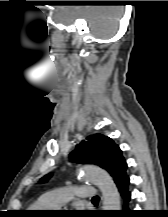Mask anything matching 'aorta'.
<instances>
[{
	"label": "aorta",
	"instance_id": "1",
	"mask_svg": "<svg viewBox=\"0 0 168 217\" xmlns=\"http://www.w3.org/2000/svg\"><path fill=\"white\" fill-rule=\"evenodd\" d=\"M83 179L96 185L102 192L103 210H120V194L111 178L103 169L97 166H85L82 169Z\"/></svg>",
	"mask_w": 168,
	"mask_h": 217
}]
</instances>
